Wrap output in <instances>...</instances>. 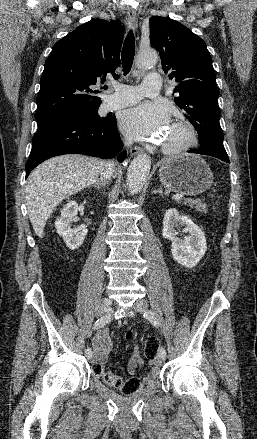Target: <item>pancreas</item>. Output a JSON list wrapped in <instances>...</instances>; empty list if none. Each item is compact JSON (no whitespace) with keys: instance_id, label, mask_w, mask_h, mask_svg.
Here are the masks:
<instances>
[{"instance_id":"cf45deb5","label":"pancreas","mask_w":257,"mask_h":439,"mask_svg":"<svg viewBox=\"0 0 257 439\" xmlns=\"http://www.w3.org/2000/svg\"><path fill=\"white\" fill-rule=\"evenodd\" d=\"M182 203L195 208L197 211L206 212V205L200 199H184Z\"/></svg>"}]
</instances>
